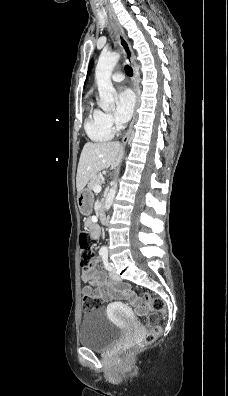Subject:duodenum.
Here are the masks:
<instances>
[{
  "label": "duodenum",
  "instance_id": "1",
  "mask_svg": "<svg viewBox=\"0 0 228 396\" xmlns=\"http://www.w3.org/2000/svg\"><path fill=\"white\" fill-rule=\"evenodd\" d=\"M99 220L101 221V223H105L106 222V215H105V209L104 206H102L99 210Z\"/></svg>",
  "mask_w": 228,
  "mask_h": 396
}]
</instances>
